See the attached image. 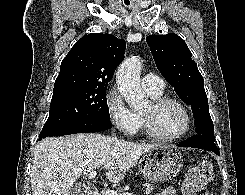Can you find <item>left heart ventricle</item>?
<instances>
[{"label":"left heart ventricle","instance_id":"b2bd125f","mask_svg":"<svg viewBox=\"0 0 245 195\" xmlns=\"http://www.w3.org/2000/svg\"><path fill=\"white\" fill-rule=\"evenodd\" d=\"M142 113L150 114L153 128L162 135H175L185 126V114L176 104H166L158 110L152 111L149 103Z\"/></svg>","mask_w":245,"mask_h":195}]
</instances>
